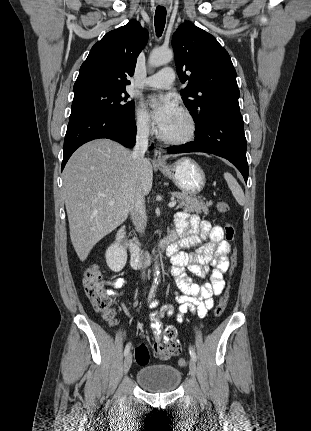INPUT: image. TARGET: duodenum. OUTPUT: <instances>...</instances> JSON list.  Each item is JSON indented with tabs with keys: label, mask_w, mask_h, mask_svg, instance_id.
Listing matches in <instances>:
<instances>
[{
	"label": "duodenum",
	"mask_w": 311,
	"mask_h": 431,
	"mask_svg": "<svg viewBox=\"0 0 311 431\" xmlns=\"http://www.w3.org/2000/svg\"><path fill=\"white\" fill-rule=\"evenodd\" d=\"M175 240L176 234L174 231H171L170 234L162 241L158 251L155 254L157 256H171L174 251ZM116 241L129 252L131 261L136 266H140L149 262L153 257L151 253L141 250L135 243L127 241L125 239V232L123 228L117 232Z\"/></svg>",
	"instance_id": "obj_1"
}]
</instances>
